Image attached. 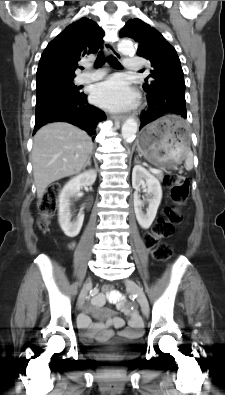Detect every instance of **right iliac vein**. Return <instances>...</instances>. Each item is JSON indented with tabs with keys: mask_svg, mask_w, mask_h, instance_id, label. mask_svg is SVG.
Masks as SVG:
<instances>
[{
	"mask_svg": "<svg viewBox=\"0 0 225 395\" xmlns=\"http://www.w3.org/2000/svg\"><path fill=\"white\" fill-rule=\"evenodd\" d=\"M90 287H91L90 281L86 282V284L84 285V287H83V289H82V291H81V293L79 295L78 308L81 309L83 307L84 302H85V298L87 296V293H88Z\"/></svg>",
	"mask_w": 225,
	"mask_h": 395,
	"instance_id": "1",
	"label": "right iliac vein"
}]
</instances>
